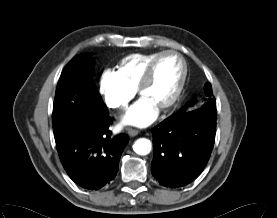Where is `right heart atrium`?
<instances>
[{"mask_svg":"<svg viewBox=\"0 0 277 218\" xmlns=\"http://www.w3.org/2000/svg\"><path fill=\"white\" fill-rule=\"evenodd\" d=\"M99 90L105 104L113 109H124L136 94V89L127 84L118 71L105 69L101 73Z\"/></svg>","mask_w":277,"mask_h":218,"instance_id":"obj_1","label":"right heart atrium"}]
</instances>
